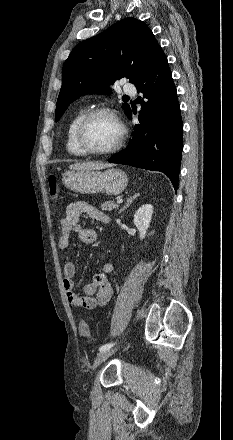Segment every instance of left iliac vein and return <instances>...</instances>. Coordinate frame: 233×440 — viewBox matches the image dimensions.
<instances>
[{"mask_svg":"<svg viewBox=\"0 0 233 440\" xmlns=\"http://www.w3.org/2000/svg\"><path fill=\"white\" fill-rule=\"evenodd\" d=\"M115 351H116L115 349H108V350L100 352L94 360L92 370H95L103 361H105L112 354H114Z\"/></svg>","mask_w":233,"mask_h":440,"instance_id":"1","label":"left iliac vein"}]
</instances>
